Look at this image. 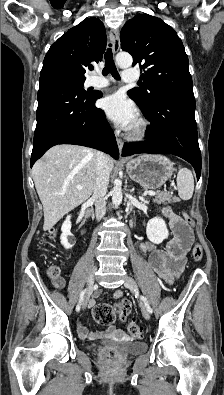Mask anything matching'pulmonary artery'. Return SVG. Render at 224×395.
Here are the masks:
<instances>
[{"label":"pulmonary artery","mask_w":224,"mask_h":395,"mask_svg":"<svg viewBox=\"0 0 224 395\" xmlns=\"http://www.w3.org/2000/svg\"><path fill=\"white\" fill-rule=\"evenodd\" d=\"M123 81L124 82H133L137 79V71L134 69H127L123 72ZM90 86L95 87V88H103L109 85V82L107 79L102 78V77H94L90 83Z\"/></svg>","instance_id":"obj_1"}]
</instances>
